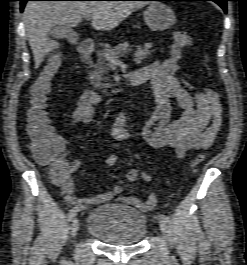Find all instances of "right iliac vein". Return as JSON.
Returning <instances> with one entry per match:
<instances>
[{
  "instance_id": "obj_1",
  "label": "right iliac vein",
  "mask_w": 247,
  "mask_h": 265,
  "mask_svg": "<svg viewBox=\"0 0 247 265\" xmlns=\"http://www.w3.org/2000/svg\"><path fill=\"white\" fill-rule=\"evenodd\" d=\"M79 230V220L77 218L73 219L71 224V234L72 236H76Z\"/></svg>"
}]
</instances>
